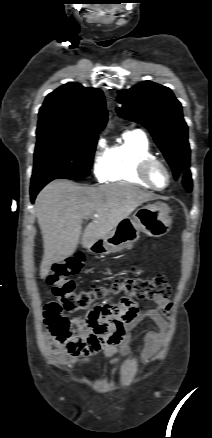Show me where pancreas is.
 Returning <instances> with one entry per match:
<instances>
[{
    "label": "pancreas",
    "mask_w": 212,
    "mask_h": 438,
    "mask_svg": "<svg viewBox=\"0 0 212 438\" xmlns=\"http://www.w3.org/2000/svg\"><path fill=\"white\" fill-rule=\"evenodd\" d=\"M131 248H132V245H129V246H128V249H131Z\"/></svg>",
    "instance_id": "pancreas-1"
}]
</instances>
